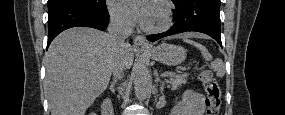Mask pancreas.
I'll return each instance as SVG.
<instances>
[{"mask_svg": "<svg viewBox=\"0 0 285 115\" xmlns=\"http://www.w3.org/2000/svg\"><path fill=\"white\" fill-rule=\"evenodd\" d=\"M187 77H188L187 73H184L181 75H176V76L170 78L169 80H167L166 83L169 84L168 87L171 86L173 89H175L177 87L182 86L183 84H186Z\"/></svg>", "mask_w": 285, "mask_h": 115, "instance_id": "cf45deb5", "label": "pancreas"}]
</instances>
